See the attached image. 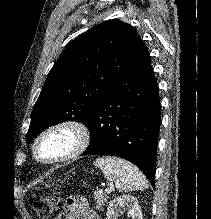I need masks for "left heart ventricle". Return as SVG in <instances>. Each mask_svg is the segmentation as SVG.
<instances>
[{
	"mask_svg": "<svg viewBox=\"0 0 211 219\" xmlns=\"http://www.w3.org/2000/svg\"><path fill=\"white\" fill-rule=\"evenodd\" d=\"M69 133H57L46 137L39 146V155L44 159H51L65 153L71 145Z\"/></svg>",
	"mask_w": 211,
	"mask_h": 219,
	"instance_id": "obj_1",
	"label": "left heart ventricle"
}]
</instances>
